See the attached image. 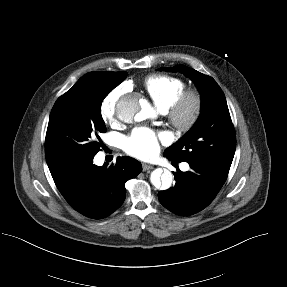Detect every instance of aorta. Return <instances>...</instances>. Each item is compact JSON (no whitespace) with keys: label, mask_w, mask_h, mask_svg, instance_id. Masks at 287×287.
<instances>
[{"label":"aorta","mask_w":287,"mask_h":287,"mask_svg":"<svg viewBox=\"0 0 287 287\" xmlns=\"http://www.w3.org/2000/svg\"><path fill=\"white\" fill-rule=\"evenodd\" d=\"M116 112L120 120L130 123L148 118L152 113V108L140 95L129 94L119 100ZM150 181L155 188L167 190L172 186L173 174L167 169L157 168L151 173Z\"/></svg>","instance_id":"aorta-1"}]
</instances>
